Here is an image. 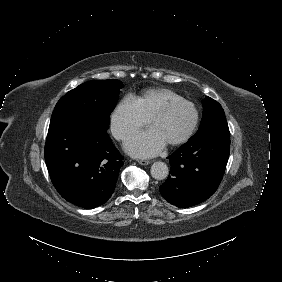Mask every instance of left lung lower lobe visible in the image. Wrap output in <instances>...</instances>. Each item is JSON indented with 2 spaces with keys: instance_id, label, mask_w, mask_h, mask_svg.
I'll list each match as a JSON object with an SVG mask.
<instances>
[{
  "instance_id": "0a47b994",
  "label": "left lung lower lobe",
  "mask_w": 282,
  "mask_h": 282,
  "mask_svg": "<svg viewBox=\"0 0 282 282\" xmlns=\"http://www.w3.org/2000/svg\"><path fill=\"white\" fill-rule=\"evenodd\" d=\"M229 152L227 122L199 130L168 157L170 175L159 188L161 195L179 208L205 201L214 194L222 180Z\"/></svg>"
}]
</instances>
